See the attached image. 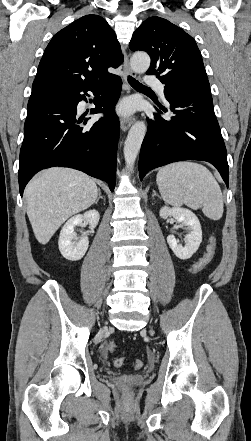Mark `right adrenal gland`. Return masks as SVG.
<instances>
[{
	"label": "right adrenal gland",
	"mask_w": 251,
	"mask_h": 441,
	"mask_svg": "<svg viewBox=\"0 0 251 441\" xmlns=\"http://www.w3.org/2000/svg\"><path fill=\"white\" fill-rule=\"evenodd\" d=\"M99 199H103V196H101V192H100V190H99L98 197H97V199H96V201H95V204L98 203Z\"/></svg>",
	"instance_id": "1"
}]
</instances>
